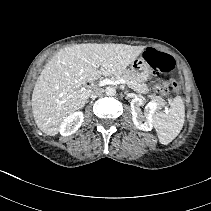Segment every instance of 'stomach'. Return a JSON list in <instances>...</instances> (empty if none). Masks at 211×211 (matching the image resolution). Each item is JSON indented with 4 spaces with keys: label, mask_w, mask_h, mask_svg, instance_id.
Instances as JSON below:
<instances>
[{
    "label": "stomach",
    "mask_w": 211,
    "mask_h": 211,
    "mask_svg": "<svg viewBox=\"0 0 211 211\" xmlns=\"http://www.w3.org/2000/svg\"><path fill=\"white\" fill-rule=\"evenodd\" d=\"M140 81H146L150 76V66L143 56L136 58L129 69Z\"/></svg>",
    "instance_id": "stomach-1"
}]
</instances>
